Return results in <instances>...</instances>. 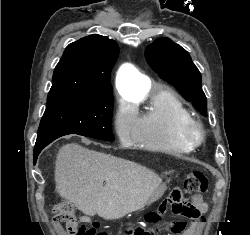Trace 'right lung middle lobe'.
<instances>
[{
  "label": "right lung middle lobe",
  "mask_w": 250,
  "mask_h": 235,
  "mask_svg": "<svg viewBox=\"0 0 250 235\" xmlns=\"http://www.w3.org/2000/svg\"><path fill=\"white\" fill-rule=\"evenodd\" d=\"M112 92L99 94L66 93L47 98L38 135L63 131L113 141L111 118Z\"/></svg>",
  "instance_id": "right-lung-middle-lobe-1"
}]
</instances>
